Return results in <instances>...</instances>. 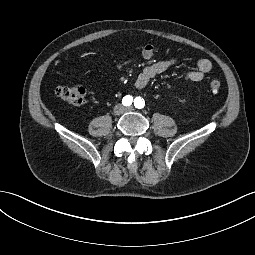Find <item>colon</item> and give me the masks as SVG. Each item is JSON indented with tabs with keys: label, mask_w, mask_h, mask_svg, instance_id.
Masks as SVG:
<instances>
[{
	"label": "colon",
	"mask_w": 255,
	"mask_h": 255,
	"mask_svg": "<svg viewBox=\"0 0 255 255\" xmlns=\"http://www.w3.org/2000/svg\"><path fill=\"white\" fill-rule=\"evenodd\" d=\"M220 88L221 82L219 80L213 79L209 82V89L212 92H217ZM55 94L68 104L79 106L85 101L86 90L84 87L79 85L60 86L56 88Z\"/></svg>",
	"instance_id": "5ec220e1"
}]
</instances>
